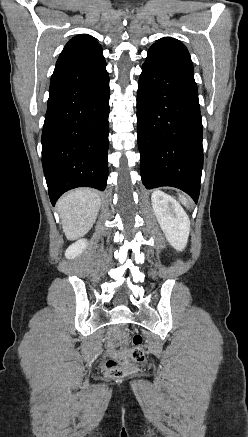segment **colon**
I'll return each mask as SVG.
<instances>
[{
  "label": "colon",
  "mask_w": 248,
  "mask_h": 437,
  "mask_svg": "<svg viewBox=\"0 0 248 437\" xmlns=\"http://www.w3.org/2000/svg\"><path fill=\"white\" fill-rule=\"evenodd\" d=\"M132 347L125 353L131 363L123 365L115 358L104 360L102 368L105 375L111 379H120L136 371L137 364L145 359V350L143 348V338L140 334H135L131 338Z\"/></svg>",
  "instance_id": "colon-1"
}]
</instances>
